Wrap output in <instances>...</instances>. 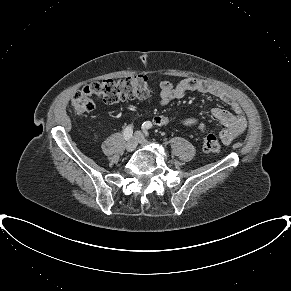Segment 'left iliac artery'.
Here are the masks:
<instances>
[{
    "mask_svg": "<svg viewBox=\"0 0 291 291\" xmlns=\"http://www.w3.org/2000/svg\"><path fill=\"white\" fill-rule=\"evenodd\" d=\"M152 127V123L150 121H146L142 124L143 132L146 136H149L148 130Z\"/></svg>",
    "mask_w": 291,
    "mask_h": 291,
    "instance_id": "44dca946",
    "label": "left iliac artery"
}]
</instances>
